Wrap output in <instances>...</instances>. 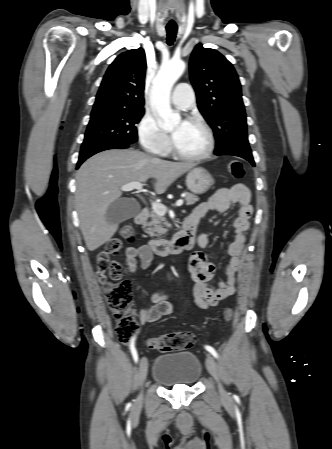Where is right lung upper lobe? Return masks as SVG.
<instances>
[{
	"mask_svg": "<svg viewBox=\"0 0 332 449\" xmlns=\"http://www.w3.org/2000/svg\"><path fill=\"white\" fill-rule=\"evenodd\" d=\"M146 58L142 48L120 54L102 80L91 114L144 110Z\"/></svg>",
	"mask_w": 332,
	"mask_h": 449,
	"instance_id": "cb5924a9",
	"label": "right lung upper lobe"
}]
</instances>
